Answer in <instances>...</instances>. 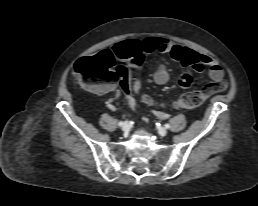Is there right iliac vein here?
Returning <instances> with one entry per match:
<instances>
[{
    "instance_id": "63e3f726",
    "label": "right iliac vein",
    "mask_w": 258,
    "mask_h": 206,
    "mask_svg": "<svg viewBox=\"0 0 258 206\" xmlns=\"http://www.w3.org/2000/svg\"><path fill=\"white\" fill-rule=\"evenodd\" d=\"M122 131L126 132L129 130V124L128 122H124V124L121 127Z\"/></svg>"
}]
</instances>
